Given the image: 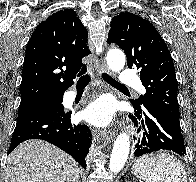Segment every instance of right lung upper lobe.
Here are the masks:
<instances>
[{"instance_id": "cb5924a9", "label": "right lung upper lobe", "mask_w": 196, "mask_h": 182, "mask_svg": "<svg viewBox=\"0 0 196 182\" xmlns=\"http://www.w3.org/2000/svg\"><path fill=\"white\" fill-rule=\"evenodd\" d=\"M89 54L87 30L74 10L42 21L26 47L20 105L63 97L76 75L86 71L81 61Z\"/></svg>"}]
</instances>
